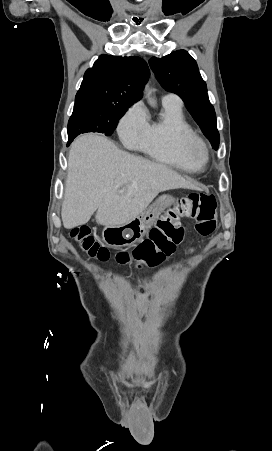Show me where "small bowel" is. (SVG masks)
Masks as SVG:
<instances>
[{
	"label": "small bowel",
	"mask_w": 272,
	"mask_h": 451,
	"mask_svg": "<svg viewBox=\"0 0 272 451\" xmlns=\"http://www.w3.org/2000/svg\"><path fill=\"white\" fill-rule=\"evenodd\" d=\"M192 252V250H188V254H190Z\"/></svg>",
	"instance_id": "obj_1"
}]
</instances>
